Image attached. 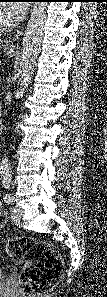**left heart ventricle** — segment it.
Masks as SVG:
<instances>
[{
  "label": "left heart ventricle",
  "instance_id": "left-heart-ventricle-1",
  "mask_svg": "<svg viewBox=\"0 0 107 297\" xmlns=\"http://www.w3.org/2000/svg\"><path fill=\"white\" fill-rule=\"evenodd\" d=\"M7 23L8 22V19H7V17L5 16V14H4V11H3V7H1V9H0V23Z\"/></svg>",
  "mask_w": 107,
  "mask_h": 297
}]
</instances>
